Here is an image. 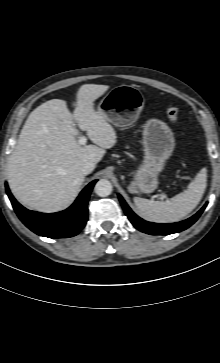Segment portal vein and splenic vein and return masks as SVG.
<instances>
[{
	"instance_id": "18ae733b",
	"label": "portal vein and splenic vein",
	"mask_w": 220,
	"mask_h": 363,
	"mask_svg": "<svg viewBox=\"0 0 220 363\" xmlns=\"http://www.w3.org/2000/svg\"><path fill=\"white\" fill-rule=\"evenodd\" d=\"M86 142H87V137H85V136H81V137L78 139V143H79L80 145H85V144H86ZM162 198H166V196H165V195H162Z\"/></svg>"
}]
</instances>
